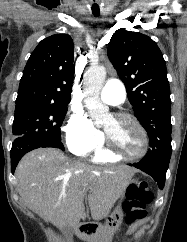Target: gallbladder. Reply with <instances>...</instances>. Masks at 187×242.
<instances>
[{"mask_svg": "<svg viewBox=\"0 0 187 242\" xmlns=\"http://www.w3.org/2000/svg\"><path fill=\"white\" fill-rule=\"evenodd\" d=\"M60 229L64 232L65 234V239L66 242H72V237H71V228L67 225L61 226Z\"/></svg>", "mask_w": 187, "mask_h": 242, "instance_id": "obj_1", "label": "gallbladder"}]
</instances>
